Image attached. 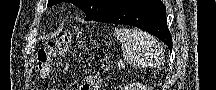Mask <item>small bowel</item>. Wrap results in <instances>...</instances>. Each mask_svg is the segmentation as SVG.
<instances>
[{"label":"small bowel","mask_w":216,"mask_h":90,"mask_svg":"<svg viewBox=\"0 0 216 90\" xmlns=\"http://www.w3.org/2000/svg\"><path fill=\"white\" fill-rule=\"evenodd\" d=\"M98 88H99V80L95 76L85 77L79 85V90H98ZM50 90H64V89L51 88Z\"/></svg>","instance_id":"obj_1"}]
</instances>
